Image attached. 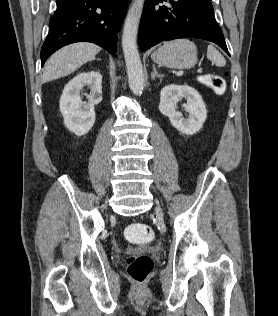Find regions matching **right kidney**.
I'll use <instances>...</instances> for the list:
<instances>
[{
    "instance_id": "ca27d5eb",
    "label": "right kidney",
    "mask_w": 278,
    "mask_h": 316,
    "mask_svg": "<svg viewBox=\"0 0 278 316\" xmlns=\"http://www.w3.org/2000/svg\"><path fill=\"white\" fill-rule=\"evenodd\" d=\"M91 92L89 102L82 101L81 90ZM102 101V75L98 71L83 72L68 82L60 98V111L66 128L78 136L89 132L95 123V105Z\"/></svg>"
}]
</instances>
